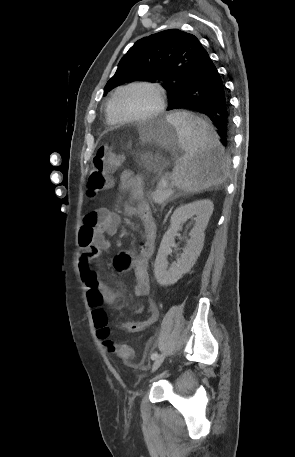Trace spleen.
<instances>
[{"label": "spleen", "instance_id": "obj_1", "mask_svg": "<svg viewBox=\"0 0 295 457\" xmlns=\"http://www.w3.org/2000/svg\"><path fill=\"white\" fill-rule=\"evenodd\" d=\"M167 119L176 127L179 145L185 151L173 170L175 186L197 193L223 182L228 165L214 128L186 111L172 113Z\"/></svg>", "mask_w": 295, "mask_h": 457}]
</instances>
